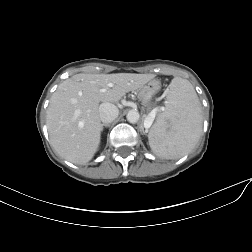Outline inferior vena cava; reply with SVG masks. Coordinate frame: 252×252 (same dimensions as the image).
Returning <instances> with one entry per match:
<instances>
[{"label": "inferior vena cava", "mask_w": 252, "mask_h": 252, "mask_svg": "<svg viewBox=\"0 0 252 252\" xmlns=\"http://www.w3.org/2000/svg\"><path fill=\"white\" fill-rule=\"evenodd\" d=\"M119 115L118 108L112 103H102L99 106V117L103 123L114 121Z\"/></svg>", "instance_id": "1"}]
</instances>
